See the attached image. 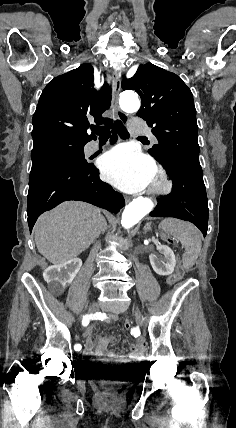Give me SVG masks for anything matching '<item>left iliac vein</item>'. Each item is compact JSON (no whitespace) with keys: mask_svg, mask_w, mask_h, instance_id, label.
I'll list each match as a JSON object with an SVG mask.
<instances>
[{"mask_svg":"<svg viewBox=\"0 0 236 428\" xmlns=\"http://www.w3.org/2000/svg\"><path fill=\"white\" fill-rule=\"evenodd\" d=\"M131 309H133V314H135L134 316H135V318H136V324H137V326L138 327H143L144 326V320H143V318L142 317H140L141 315H140V313H138L139 311H138V309L137 308H134V306H131Z\"/></svg>","mask_w":236,"mask_h":428,"instance_id":"1","label":"left iliac vein"}]
</instances>
